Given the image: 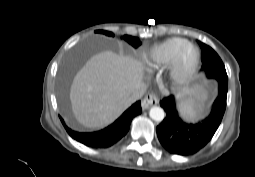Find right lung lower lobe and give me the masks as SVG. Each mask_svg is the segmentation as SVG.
<instances>
[{
  "label": "right lung lower lobe",
  "instance_id": "98d812e1",
  "mask_svg": "<svg viewBox=\"0 0 255 177\" xmlns=\"http://www.w3.org/2000/svg\"><path fill=\"white\" fill-rule=\"evenodd\" d=\"M142 112L140 101L135 102L113 124L92 133L76 132L68 128L61 119L69 135L76 141L92 148H107L118 142L129 130L132 119Z\"/></svg>",
  "mask_w": 255,
  "mask_h": 177
}]
</instances>
